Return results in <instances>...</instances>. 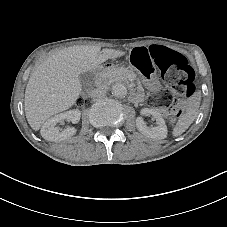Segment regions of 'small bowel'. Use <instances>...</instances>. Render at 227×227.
I'll return each mask as SVG.
<instances>
[{"label": "small bowel", "mask_w": 227, "mask_h": 227, "mask_svg": "<svg viewBox=\"0 0 227 227\" xmlns=\"http://www.w3.org/2000/svg\"><path fill=\"white\" fill-rule=\"evenodd\" d=\"M150 47H139V48H136L134 50L142 52L143 54L147 55L149 57V59L151 60V58H150Z\"/></svg>", "instance_id": "small-bowel-1"}]
</instances>
